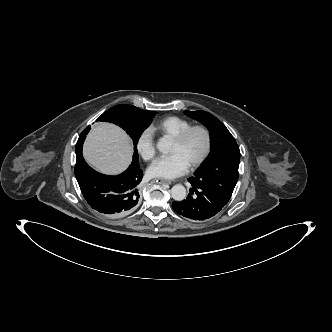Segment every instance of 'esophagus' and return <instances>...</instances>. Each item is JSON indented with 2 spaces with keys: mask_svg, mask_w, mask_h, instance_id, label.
Wrapping results in <instances>:
<instances>
[{
  "mask_svg": "<svg viewBox=\"0 0 332 332\" xmlns=\"http://www.w3.org/2000/svg\"><path fill=\"white\" fill-rule=\"evenodd\" d=\"M155 182H157L159 184H171V181L166 180V179H161V178L155 179Z\"/></svg>",
  "mask_w": 332,
  "mask_h": 332,
  "instance_id": "esophagus-1",
  "label": "esophagus"
}]
</instances>
